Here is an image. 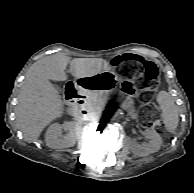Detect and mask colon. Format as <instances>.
Segmentation results:
<instances>
[{
	"instance_id": "obj_1",
	"label": "colon",
	"mask_w": 194,
	"mask_h": 193,
	"mask_svg": "<svg viewBox=\"0 0 194 193\" xmlns=\"http://www.w3.org/2000/svg\"><path fill=\"white\" fill-rule=\"evenodd\" d=\"M124 75H136L141 72L145 83V93L142 97V121L146 125L160 126V114L151 98V91L157 86L159 71L157 66L140 57L122 56L115 60Z\"/></svg>"
}]
</instances>
